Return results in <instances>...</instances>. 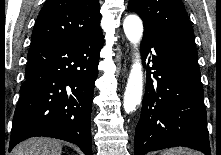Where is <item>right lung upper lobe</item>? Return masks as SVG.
<instances>
[{
  "label": "right lung upper lobe",
  "instance_id": "cb5924a9",
  "mask_svg": "<svg viewBox=\"0 0 221 155\" xmlns=\"http://www.w3.org/2000/svg\"><path fill=\"white\" fill-rule=\"evenodd\" d=\"M99 0H47L32 32V44L83 38L101 31Z\"/></svg>",
  "mask_w": 221,
  "mask_h": 155
}]
</instances>
